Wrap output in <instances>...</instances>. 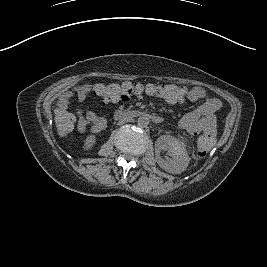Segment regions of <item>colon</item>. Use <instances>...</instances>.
Wrapping results in <instances>:
<instances>
[{
    "instance_id": "colon-1",
    "label": "colon",
    "mask_w": 267,
    "mask_h": 267,
    "mask_svg": "<svg viewBox=\"0 0 267 267\" xmlns=\"http://www.w3.org/2000/svg\"><path fill=\"white\" fill-rule=\"evenodd\" d=\"M97 97L107 102L128 101L133 96L147 94L161 98L167 102H178L182 99L183 90L175 85L170 84H147L140 83H100L91 87ZM75 124L74 117L65 109H60L54 117V126L60 137H67L73 130ZM215 144L214 134L209 132H201L197 138V154L205 156L213 148Z\"/></svg>"
}]
</instances>
